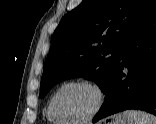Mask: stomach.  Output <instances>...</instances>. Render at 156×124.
<instances>
[{
    "mask_svg": "<svg viewBox=\"0 0 156 124\" xmlns=\"http://www.w3.org/2000/svg\"><path fill=\"white\" fill-rule=\"evenodd\" d=\"M107 124H129L128 121L123 117V115H117L113 120L109 121Z\"/></svg>",
    "mask_w": 156,
    "mask_h": 124,
    "instance_id": "obj_1",
    "label": "stomach"
}]
</instances>
